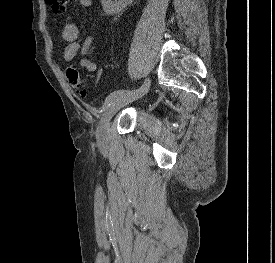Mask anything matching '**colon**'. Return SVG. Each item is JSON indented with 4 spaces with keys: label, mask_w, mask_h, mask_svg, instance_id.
Segmentation results:
<instances>
[{
    "label": "colon",
    "mask_w": 275,
    "mask_h": 263,
    "mask_svg": "<svg viewBox=\"0 0 275 263\" xmlns=\"http://www.w3.org/2000/svg\"><path fill=\"white\" fill-rule=\"evenodd\" d=\"M55 13H64L67 10L68 0H47ZM65 76L70 86L81 96H86L84 79L75 65L65 68Z\"/></svg>",
    "instance_id": "5ec220e1"
}]
</instances>
